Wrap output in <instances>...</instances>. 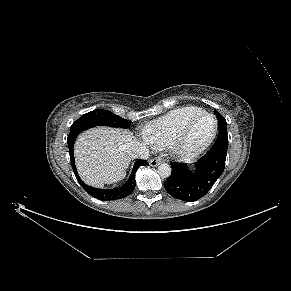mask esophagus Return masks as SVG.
Segmentation results:
<instances>
[{"label":"esophagus","instance_id":"1","mask_svg":"<svg viewBox=\"0 0 291 291\" xmlns=\"http://www.w3.org/2000/svg\"><path fill=\"white\" fill-rule=\"evenodd\" d=\"M162 162L161 158H154L149 161L150 166L156 167L158 164Z\"/></svg>","mask_w":291,"mask_h":291}]
</instances>
